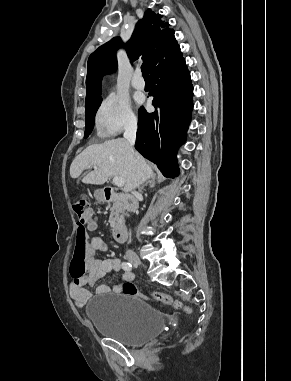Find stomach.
<instances>
[{"mask_svg": "<svg viewBox=\"0 0 291 381\" xmlns=\"http://www.w3.org/2000/svg\"><path fill=\"white\" fill-rule=\"evenodd\" d=\"M95 197H96V199H97L98 201H102V200H103L101 194H100L98 191L95 193Z\"/></svg>", "mask_w": 291, "mask_h": 381, "instance_id": "obj_1", "label": "stomach"}]
</instances>
